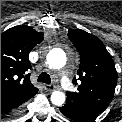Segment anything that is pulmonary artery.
<instances>
[{
    "label": "pulmonary artery",
    "instance_id": "e3ab8cb5",
    "mask_svg": "<svg viewBox=\"0 0 122 122\" xmlns=\"http://www.w3.org/2000/svg\"><path fill=\"white\" fill-rule=\"evenodd\" d=\"M61 84L65 90H69L71 88V83L66 75L62 76Z\"/></svg>",
    "mask_w": 122,
    "mask_h": 122
}]
</instances>
